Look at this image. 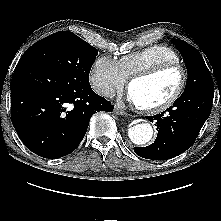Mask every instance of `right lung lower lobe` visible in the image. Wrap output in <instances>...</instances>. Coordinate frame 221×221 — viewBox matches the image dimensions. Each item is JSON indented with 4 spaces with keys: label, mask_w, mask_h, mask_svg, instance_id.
Returning <instances> with one entry per match:
<instances>
[{
    "label": "right lung lower lobe",
    "mask_w": 221,
    "mask_h": 221,
    "mask_svg": "<svg viewBox=\"0 0 221 221\" xmlns=\"http://www.w3.org/2000/svg\"><path fill=\"white\" fill-rule=\"evenodd\" d=\"M114 106L90 84L77 82L33 60H20L11 80V120L33 153L57 159L74 151L91 116Z\"/></svg>",
    "instance_id": "1"
}]
</instances>
